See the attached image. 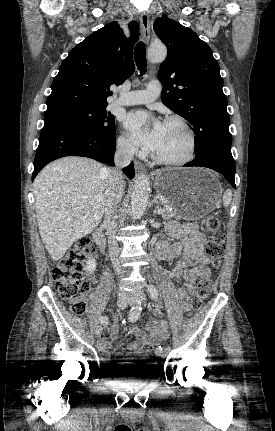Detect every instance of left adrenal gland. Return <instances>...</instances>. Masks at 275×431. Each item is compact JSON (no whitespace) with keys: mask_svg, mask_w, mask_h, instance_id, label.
<instances>
[{"mask_svg":"<svg viewBox=\"0 0 275 431\" xmlns=\"http://www.w3.org/2000/svg\"><path fill=\"white\" fill-rule=\"evenodd\" d=\"M153 204L156 205L155 209L153 210V215H155L157 213V210L160 208V204L157 200V196H154Z\"/></svg>","mask_w":275,"mask_h":431,"instance_id":"obj_1","label":"left adrenal gland"}]
</instances>
